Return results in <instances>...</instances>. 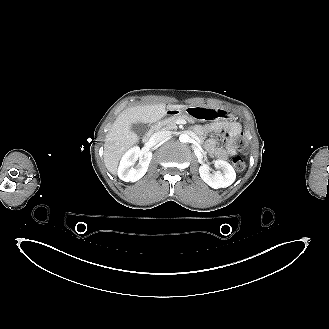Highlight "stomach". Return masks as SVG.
<instances>
[{
	"instance_id": "obj_1",
	"label": "stomach",
	"mask_w": 329,
	"mask_h": 329,
	"mask_svg": "<svg viewBox=\"0 0 329 329\" xmlns=\"http://www.w3.org/2000/svg\"><path fill=\"white\" fill-rule=\"evenodd\" d=\"M172 116L184 115L190 120H199V121H218L229 117L227 111L222 108L214 109L206 106H190L182 109H173L168 110Z\"/></svg>"
}]
</instances>
